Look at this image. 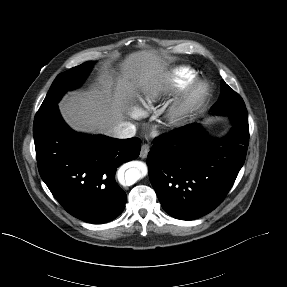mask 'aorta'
I'll return each instance as SVG.
<instances>
[{
	"instance_id": "1",
	"label": "aorta",
	"mask_w": 287,
	"mask_h": 287,
	"mask_svg": "<svg viewBox=\"0 0 287 287\" xmlns=\"http://www.w3.org/2000/svg\"><path fill=\"white\" fill-rule=\"evenodd\" d=\"M142 177V174L137 169H129L125 173V183L127 185L134 184L138 179Z\"/></svg>"
}]
</instances>
